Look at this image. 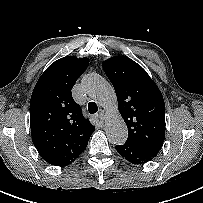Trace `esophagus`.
Wrapping results in <instances>:
<instances>
[{"mask_svg": "<svg viewBox=\"0 0 203 203\" xmlns=\"http://www.w3.org/2000/svg\"><path fill=\"white\" fill-rule=\"evenodd\" d=\"M97 117L100 119V120H104L105 119V111L104 110H100L97 114Z\"/></svg>", "mask_w": 203, "mask_h": 203, "instance_id": "1", "label": "esophagus"}]
</instances>
